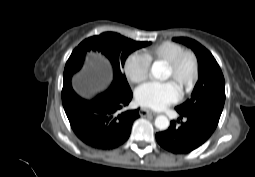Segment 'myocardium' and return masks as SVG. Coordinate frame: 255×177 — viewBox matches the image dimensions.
<instances>
[{
  "label": "myocardium",
  "mask_w": 255,
  "mask_h": 177,
  "mask_svg": "<svg viewBox=\"0 0 255 177\" xmlns=\"http://www.w3.org/2000/svg\"><path fill=\"white\" fill-rule=\"evenodd\" d=\"M187 58H189L192 62V73L187 82L185 83V85L180 88L182 92L190 90L194 86L198 78L199 60L197 55L191 50L184 49L179 54H177L172 60L165 63V67L170 69L173 73H176L180 69L184 60Z\"/></svg>",
  "instance_id": "myocardium-1"
}]
</instances>
